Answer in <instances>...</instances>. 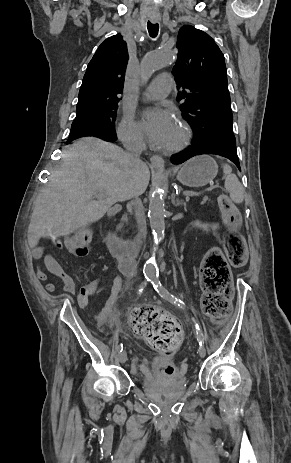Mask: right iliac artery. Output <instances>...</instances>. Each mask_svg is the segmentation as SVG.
Returning <instances> with one entry per match:
<instances>
[{"label": "right iliac artery", "instance_id": "1", "mask_svg": "<svg viewBox=\"0 0 291 463\" xmlns=\"http://www.w3.org/2000/svg\"><path fill=\"white\" fill-rule=\"evenodd\" d=\"M148 281H151V278L150 277H145V280L141 283L140 287H139V290H138V294L141 295V293L143 292L144 290V287L146 286L147 282ZM117 350L118 351H122L123 350V345L120 344L118 347H117Z\"/></svg>", "mask_w": 291, "mask_h": 463}]
</instances>
